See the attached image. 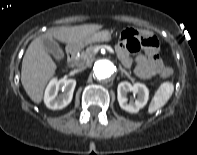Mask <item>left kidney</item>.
<instances>
[{
    "label": "left kidney",
    "instance_id": "1",
    "mask_svg": "<svg viewBox=\"0 0 197 155\" xmlns=\"http://www.w3.org/2000/svg\"><path fill=\"white\" fill-rule=\"evenodd\" d=\"M129 91L137 95L134 102L132 100L128 101L127 94ZM117 98L122 109L130 113H137L139 109L143 108L147 104L149 90L142 83H135L134 85H131L129 82L123 81L118 84Z\"/></svg>",
    "mask_w": 197,
    "mask_h": 155
}]
</instances>
